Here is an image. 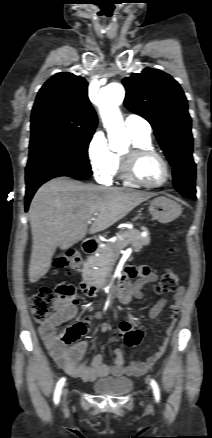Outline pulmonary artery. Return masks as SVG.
Here are the masks:
<instances>
[{
	"instance_id": "pulmonary-artery-1",
	"label": "pulmonary artery",
	"mask_w": 212,
	"mask_h": 438,
	"mask_svg": "<svg viewBox=\"0 0 212 438\" xmlns=\"http://www.w3.org/2000/svg\"><path fill=\"white\" fill-rule=\"evenodd\" d=\"M124 125L133 135L150 136L151 134L150 124L137 114H128L125 118Z\"/></svg>"
}]
</instances>
